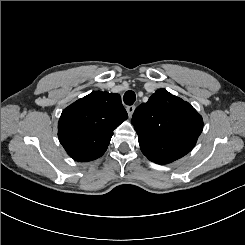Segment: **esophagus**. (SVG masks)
I'll list each match as a JSON object with an SVG mask.
<instances>
[{
  "mask_svg": "<svg viewBox=\"0 0 245 245\" xmlns=\"http://www.w3.org/2000/svg\"><path fill=\"white\" fill-rule=\"evenodd\" d=\"M126 110H127L129 117H132V114L134 113V110H135V106H133V105L127 106Z\"/></svg>",
  "mask_w": 245,
  "mask_h": 245,
  "instance_id": "34e87169",
  "label": "esophagus"
}]
</instances>
